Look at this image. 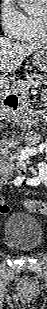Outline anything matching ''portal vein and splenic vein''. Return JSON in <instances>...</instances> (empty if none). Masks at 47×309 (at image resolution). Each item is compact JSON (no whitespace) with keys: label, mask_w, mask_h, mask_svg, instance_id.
<instances>
[{"label":"portal vein and splenic vein","mask_w":47,"mask_h":309,"mask_svg":"<svg viewBox=\"0 0 47 309\" xmlns=\"http://www.w3.org/2000/svg\"><path fill=\"white\" fill-rule=\"evenodd\" d=\"M20 86H23V87H27V88H29V87H31V86H35V87H39L40 86V82H38V81H33V82H31V83H22Z\"/></svg>","instance_id":"obj_1"}]
</instances>
